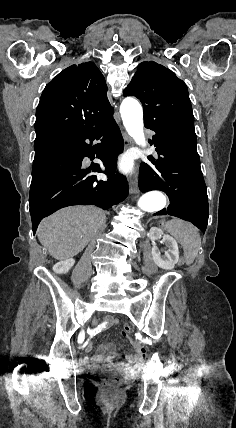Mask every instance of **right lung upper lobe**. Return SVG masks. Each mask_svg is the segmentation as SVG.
Listing matches in <instances>:
<instances>
[{
  "mask_svg": "<svg viewBox=\"0 0 236 428\" xmlns=\"http://www.w3.org/2000/svg\"><path fill=\"white\" fill-rule=\"evenodd\" d=\"M105 79L93 62L72 65L45 87L36 110L35 143L95 127L113 116Z\"/></svg>",
  "mask_w": 236,
  "mask_h": 428,
  "instance_id": "right-lung-upper-lobe-1",
  "label": "right lung upper lobe"
}]
</instances>
